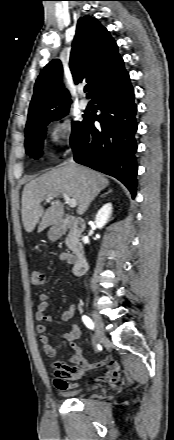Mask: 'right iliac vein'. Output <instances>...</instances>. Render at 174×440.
Masks as SVG:
<instances>
[{
  "label": "right iliac vein",
  "mask_w": 174,
  "mask_h": 440,
  "mask_svg": "<svg viewBox=\"0 0 174 440\" xmlns=\"http://www.w3.org/2000/svg\"><path fill=\"white\" fill-rule=\"evenodd\" d=\"M92 317H93L95 328H96L95 340L97 343H102L106 340L104 328H103V322H102L100 316L95 313L92 314Z\"/></svg>",
  "instance_id": "right-iliac-vein-1"
}]
</instances>
